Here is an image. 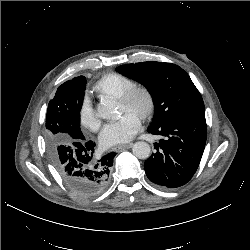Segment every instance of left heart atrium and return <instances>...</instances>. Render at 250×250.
<instances>
[{"instance_id":"39dd6f15","label":"left heart atrium","mask_w":250,"mask_h":250,"mask_svg":"<svg viewBox=\"0 0 250 250\" xmlns=\"http://www.w3.org/2000/svg\"><path fill=\"white\" fill-rule=\"evenodd\" d=\"M140 119L137 114L126 111L118 119L108 122L101 134L100 143L103 147L129 141L139 130Z\"/></svg>"}]
</instances>
